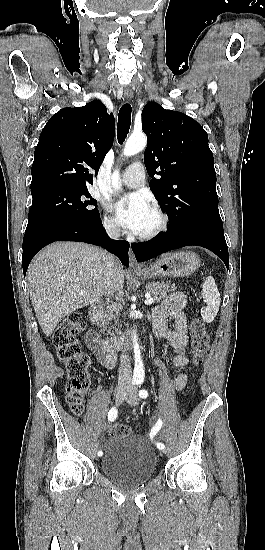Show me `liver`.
<instances>
[{
    "instance_id": "obj_1",
    "label": "liver",
    "mask_w": 265,
    "mask_h": 550,
    "mask_svg": "<svg viewBox=\"0 0 265 550\" xmlns=\"http://www.w3.org/2000/svg\"><path fill=\"white\" fill-rule=\"evenodd\" d=\"M106 256L105 251L86 243L55 242L33 258L27 285L39 325L47 337L66 315L107 294ZM115 267V290L121 291L124 270L117 260Z\"/></svg>"
}]
</instances>
